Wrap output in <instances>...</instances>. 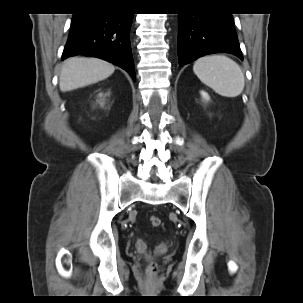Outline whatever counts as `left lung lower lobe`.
<instances>
[{
    "label": "left lung lower lobe",
    "instance_id": "left-lung-lower-lobe-1",
    "mask_svg": "<svg viewBox=\"0 0 303 303\" xmlns=\"http://www.w3.org/2000/svg\"><path fill=\"white\" fill-rule=\"evenodd\" d=\"M179 65L213 53H230L241 60L237 34L230 13L179 14Z\"/></svg>",
    "mask_w": 303,
    "mask_h": 303
}]
</instances>
